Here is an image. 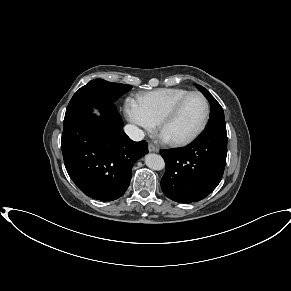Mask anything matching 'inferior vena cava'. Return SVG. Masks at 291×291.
Masks as SVG:
<instances>
[{
    "mask_svg": "<svg viewBox=\"0 0 291 291\" xmlns=\"http://www.w3.org/2000/svg\"><path fill=\"white\" fill-rule=\"evenodd\" d=\"M124 131L133 141H141L144 138V132L135 125H126Z\"/></svg>",
    "mask_w": 291,
    "mask_h": 291,
    "instance_id": "602c4592",
    "label": "inferior vena cava"
}]
</instances>
